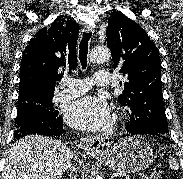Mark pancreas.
Returning <instances> with one entry per match:
<instances>
[{
  "instance_id": "1",
  "label": "pancreas",
  "mask_w": 183,
  "mask_h": 179,
  "mask_svg": "<svg viewBox=\"0 0 183 179\" xmlns=\"http://www.w3.org/2000/svg\"><path fill=\"white\" fill-rule=\"evenodd\" d=\"M145 179H161L158 174H152L150 176H147Z\"/></svg>"
}]
</instances>
